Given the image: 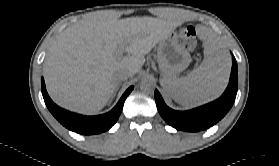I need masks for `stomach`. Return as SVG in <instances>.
<instances>
[{
	"label": "stomach",
	"mask_w": 279,
	"mask_h": 166,
	"mask_svg": "<svg viewBox=\"0 0 279 166\" xmlns=\"http://www.w3.org/2000/svg\"><path fill=\"white\" fill-rule=\"evenodd\" d=\"M157 62L163 78L171 79L188 67L191 56L177 35L170 33L158 43Z\"/></svg>",
	"instance_id": "1"
}]
</instances>
